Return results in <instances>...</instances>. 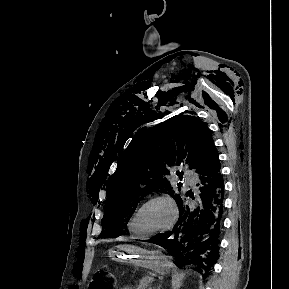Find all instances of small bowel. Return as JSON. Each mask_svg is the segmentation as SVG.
<instances>
[{
	"mask_svg": "<svg viewBox=\"0 0 289 289\" xmlns=\"http://www.w3.org/2000/svg\"><path fill=\"white\" fill-rule=\"evenodd\" d=\"M123 289H131V288H129V287H126V288H123Z\"/></svg>",
	"mask_w": 289,
	"mask_h": 289,
	"instance_id": "small-bowel-1",
	"label": "small bowel"
}]
</instances>
